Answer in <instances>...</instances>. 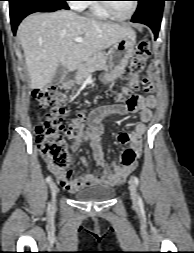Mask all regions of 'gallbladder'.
I'll use <instances>...</instances> for the list:
<instances>
[{
  "label": "gallbladder",
  "instance_id": "gallbladder-1",
  "mask_svg": "<svg viewBox=\"0 0 194 253\" xmlns=\"http://www.w3.org/2000/svg\"><path fill=\"white\" fill-rule=\"evenodd\" d=\"M65 74V69L62 66H59L56 70V73L51 81L52 85H58L61 83L63 76Z\"/></svg>",
  "mask_w": 194,
  "mask_h": 253
}]
</instances>
